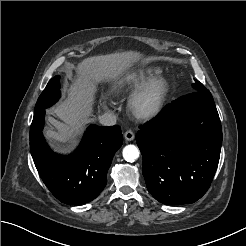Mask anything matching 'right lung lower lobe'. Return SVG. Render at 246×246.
Segmentation results:
<instances>
[{"label":"right lung lower lobe","mask_w":246,"mask_h":246,"mask_svg":"<svg viewBox=\"0 0 246 246\" xmlns=\"http://www.w3.org/2000/svg\"><path fill=\"white\" fill-rule=\"evenodd\" d=\"M45 109L34 112L30 150L37 171L50 192L62 203L83 204L95 199L107 183V171L123 143L118 125H91L73 154L60 156L42 134Z\"/></svg>","instance_id":"right-lung-lower-lobe-1"}]
</instances>
